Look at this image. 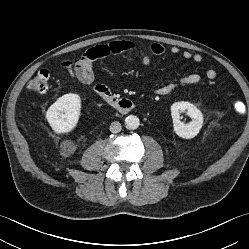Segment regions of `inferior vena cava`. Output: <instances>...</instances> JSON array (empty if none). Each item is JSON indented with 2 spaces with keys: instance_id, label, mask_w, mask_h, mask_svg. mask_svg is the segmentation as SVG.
Masks as SVG:
<instances>
[{
  "instance_id": "obj_1",
  "label": "inferior vena cava",
  "mask_w": 249,
  "mask_h": 249,
  "mask_svg": "<svg viewBox=\"0 0 249 249\" xmlns=\"http://www.w3.org/2000/svg\"><path fill=\"white\" fill-rule=\"evenodd\" d=\"M109 129H110V131L112 133H118V132L121 131L122 126H121V124L118 121H114V122H112L110 124V128Z\"/></svg>"
}]
</instances>
